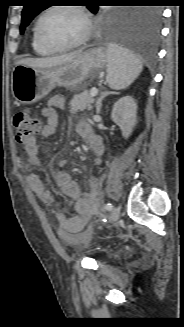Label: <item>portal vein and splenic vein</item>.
<instances>
[{
	"label": "portal vein and splenic vein",
	"mask_w": 184,
	"mask_h": 327,
	"mask_svg": "<svg viewBox=\"0 0 184 327\" xmlns=\"http://www.w3.org/2000/svg\"><path fill=\"white\" fill-rule=\"evenodd\" d=\"M97 93H98V90H97L96 88H93V89L91 90V97L96 96Z\"/></svg>",
	"instance_id": "18ae733b"
}]
</instances>
